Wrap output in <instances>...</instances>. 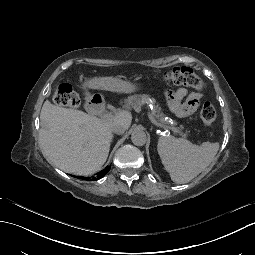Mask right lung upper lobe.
<instances>
[{"label": "right lung upper lobe", "mask_w": 255, "mask_h": 255, "mask_svg": "<svg viewBox=\"0 0 255 255\" xmlns=\"http://www.w3.org/2000/svg\"><path fill=\"white\" fill-rule=\"evenodd\" d=\"M109 170H110V166H107L104 170H102L101 172H99V173L96 175V177H94V178H99L100 176L107 174V172H108ZM82 178H83V177H82ZM84 178H86V177H84Z\"/></svg>", "instance_id": "cb5924a9"}]
</instances>
